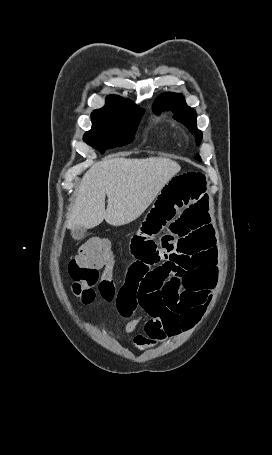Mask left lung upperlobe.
Instances as JSON below:
<instances>
[{
  "label": "left lung upper lobe",
  "mask_w": 272,
  "mask_h": 455,
  "mask_svg": "<svg viewBox=\"0 0 272 455\" xmlns=\"http://www.w3.org/2000/svg\"><path fill=\"white\" fill-rule=\"evenodd\" d=\"M152 110L155 113L162 111H172L174 118L179 122H182L191 133L195 136L197 145L200 144L202 139V132L197 129L196 125V111L187 106L185 99L181 94L176 93H164L160 95L154 102ZM198 160V155L196 156Z\"/></svg>",
  "instance_id": "1"
}]
</instances>
